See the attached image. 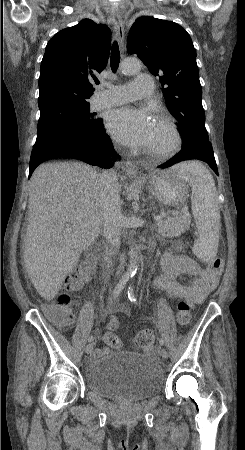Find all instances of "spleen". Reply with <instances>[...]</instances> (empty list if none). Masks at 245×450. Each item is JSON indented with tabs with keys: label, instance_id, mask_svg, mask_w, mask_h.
Here are the masks:
<instances>
[{
	"label": "spleen",
	"instance_id": "1",
	"mask_svg": "<svg viewBox=\"0 0 245 450\" xmlns=\"http://www.w3.org/2000/svg\"><path fill=\"white\" fill-rule=\"evenodd\" d=\"M172 169L192 188V212L198 230L193 252L199 259L208 262L217 255L221 229L218 194L213 176L198 161L180 163Z\"/></svg>",
	"mask_w": 245,
	"mask_h": 450
}]
</instances>
